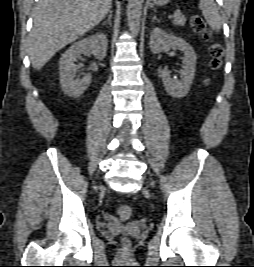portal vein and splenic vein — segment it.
I'll return each mask as SVG.
<instances>
[{"label": "portal vein and splenic vein", "mask_w": 254, "mask_h": 267, "mask_svg": "<svg viewBox=\"0 0 254 267\" xmlns=\"http://www.w3.org/2000/svg\"><path fill=\"white\" fill-rule=\"evenodd\" d=\"M179 15H181V11L180 10H176L175 12H174V14L172 15V17H178Z\"/></svg>", "instance_id": "18ae733b"}]
</instances>
